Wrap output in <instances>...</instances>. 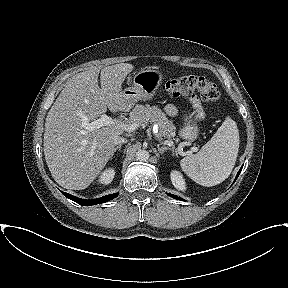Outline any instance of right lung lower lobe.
Masks as SVG:
<instances>
[{
  "mask_svg": "<svg viewBox=\"0 0 288 288\" xmlns=\"http://www.w3.org/2000/svg\"><path fill=\"white\" fill-rule=\"evenodd\" d=\"M62 194L64 196H66L67 198H69V199L73 200L74 202H76L80 205H83V206H90V205L105 203V202H108V201H110V200H112L118 196V193H114V194L106 195V196H103V197L97 198V199L85 200V199L75 197V196L68 194L66 192H62Z\"/></svg>",
  "mask_w": 288,
  "mask_h": 288,
  "instance_id": "obj_1",
  "label": "right lung lower lobe"
}]
</instances>
